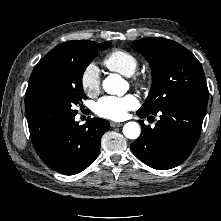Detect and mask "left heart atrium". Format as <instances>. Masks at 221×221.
Masks as SVG:
<instances>
[{"label":"left heart atrium","instance_id":"left-heart-atrium-1","mask_svg":"<svg viewBox=\"0 0 221 221\" xmlns=\"http://www.w3.org/2000/svg\"><path fill=\"white\" fill-rule=\"evenodd\" d=\"M139 101L133 94L125 96H104L94 105V112L110 120H123L128 112L137 108Z\"/></svg>","mask_w":221,"mask_h":221}]
</instances>
